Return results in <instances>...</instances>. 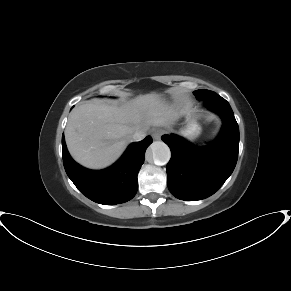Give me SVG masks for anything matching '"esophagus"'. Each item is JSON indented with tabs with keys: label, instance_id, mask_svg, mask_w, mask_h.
Instances as JSON below:
<instances>
[{
	"label": "esophagus",
	"instance_id": "obj_1",
	"mask_svg": "<svg viewBox=\"0 0 291 291\" xmlns=\"http://www.w3.org/2000/svg\"><path fill=\"white\" fill-rule=\"evenodd\" d=\"M162 134H163V131L159 128H156L152 131V137L155 140H159L161 138Z\"/></svg>",
	"mask_w": 291,
	"mask_h": 291
}]
</instances>
